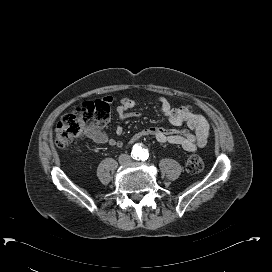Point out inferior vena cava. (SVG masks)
Listing matches in <instances>:
<instances>
[{"label": "inferior vena cava", "mask_w": 272, "mask_h": 272, "mask_svg": "<svg viewBox=\"0 0 272 272\" xmlns=\"http://www.w3.org/2000/svg\"><path fill=\"white\" fill-rule=\"evenodd\" d=\"M130 159V156L129 155H126V154H121L119 156V162H124V161H128Z\"/></svg>", "instance_id": "inferior-vena-cava-1"}]
</instances>
